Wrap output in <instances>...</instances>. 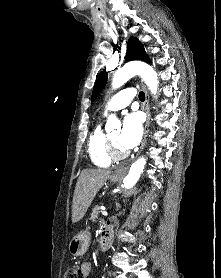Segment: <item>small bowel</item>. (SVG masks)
<instances>
[{
	"mask_svg": "<svg viewBox=\"0 0 221 278\" xmlns=\"http://www.w3.org/2000/svg\"><path fill=\"white\" fill-rule=\"evenodd\" d=\"M80 270L83 274V278H87L92 271V265L89 262H85L80 266Z\"/></svg>",
	"mask_w": 221,
	"mask_h": 278,
	"instance_id": "1",
	"label": "small bowel"
}]
</instances>
